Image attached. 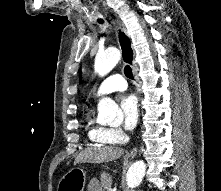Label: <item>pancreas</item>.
Listing matches in <instances>:
<instances>
[{"mask_svg": "<svg viewBox=\"0 0 221 191\" xmlns=\"http://www.w3.org/2000/svg\"><path fill=\"white\" fill-rule=\"evenodd\" d=\"M100 181H101V184H102V187L105 188V189H109L111 188V185H112V177L103 172L101 173L100 175Z\"/></svg>", "mask_w": 221, "mask_h": 191, "instance_id": "obj_1", "label": "pancreas"}]
</instances>
